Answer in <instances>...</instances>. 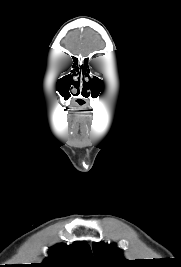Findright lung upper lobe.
Listing matches in <instances>:
<instances>
[{
	"mask_svg": "<svg viewBox=\"0 0 181 267\" xmlns=\"http://www.w3.org/2000/svg\"><path fill=\"white\" fill-rule=\"evenodd\" d=\"M48 253L40 267H90L93 263L91 249L84 241H75L71 245L56 244Z\"/></svg>",
	"mask_w": 181,
	"mask_h": 267,
	"instance_id": "obj_1",
	"label": "right lung upper lobe"
}]
</instances>
